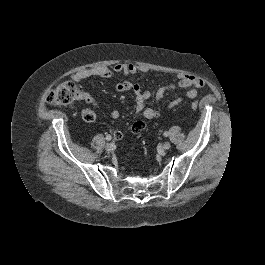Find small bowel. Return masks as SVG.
<instances>
[{
    "label": "small bowel",
    "instance_id": "obj_1",
    "mask_svg": "<svg viewBox=\"0 0 265 265\" xmlns=\"http://www.w3.org/2000/svg\"><path fill=\"white\" fill-rule=\"evenodd\" d=\"M139 72L146 73L148 72V69L144 66L137 65L134 63L117 64L113 68H110L108 66H98L77 71L72 75V80L75 82H80L90 77L112 78L115 75L131 76ZM177 79L178 82L176 84L162 86L156 91V102L162 101L165 97V94L168 91L175 89L176 87L187 88V97L191 99L195 98L197 97L199 90L204 85L202 79L187 73H178ZM115 88L118 92L132 91L135 95V111L137 113H141L147 120H152L159 117V112L154 107L147 104V101L152 96L150 91L143 90L139 84L129 79L118 82ZM82 99H85L86 101H91L90 96L86 93H82ZM181 101V98L173 99L168 102L167 107L173 108L180 104ZM110 115L113 119H117L119 118L120 113L118 110L114 109L111 111ZM144 127L145 123L142 121H138L133 124L131 130L132 132L137 133L141 131ZM114 137L120 140L123 138V134L120 131H116L114 132Z\"/></svg>",
    "mask_w": 265,
    "mask_h": 265
}]
</instances>
